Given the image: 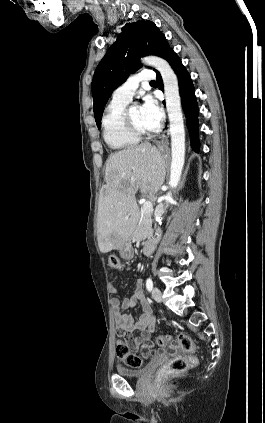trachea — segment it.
I'll return each mask as SVG.
<instances>
[{"label":"trachea","mask_w":265,"mask_h":423,"mask_svg":"<svg viewBox=\"0 0 265 423\" xmlns=\"http://www.w3.org/2000/svg\"><path fill=\"white\" fill-rule=\"evenodd\" d=\"M156 83H157L156 81H151V82H150V84H156Z\"/></svg>","instance_id":"trachea-1"}]
</instances>
